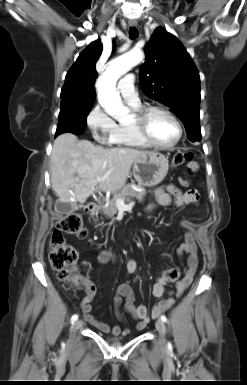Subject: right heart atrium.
Here are the masks:
<instances>
[{
    "label": "right heart atrium",
    "mask_w": 247,
    "mask_h": 385,
    "mask_svg": "<svg viewBox=\"0 0 247 385\" xmlns=\"http://www.w3.org/2000/svg\"><path fill=\"white\" fill-rule=\"evenodd\" d=\"M86 123L96 141L112 144L116 123L99 104L89 111Z\"/></svg>",
    "instance_id": "1"
}]
</instances>
